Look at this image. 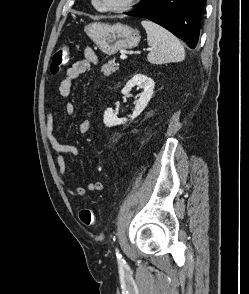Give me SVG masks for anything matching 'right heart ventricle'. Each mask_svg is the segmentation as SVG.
<instances>
[{
    "label": "right heart ventricle",
    "instance_id": "e07e8e85",
    "mask_svg": "<svg viewBox=\"0 0 249 294\" xmlns=\"http://www.w3.org/2000/svg\"><path fill=\"white\" fill-rule=\"evenodd\" d=\"M92 4H93V6H94V8H95L96 10L100 11V10L95 6V4L93 3V1H92Z\"/></svg>",
    "mask_w": 249,
    "mask_h": 294
}]
</instances>
